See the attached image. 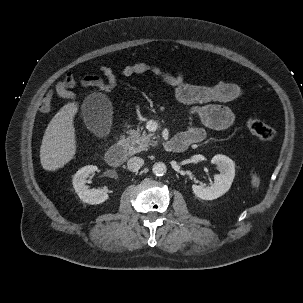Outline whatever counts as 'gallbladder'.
I'll list each match as a JSON object with an SVG mask.
<instances>
[{
  "label": "gallbladder",
  "instance_id": "gallbladder-1",
  "mask_svg": "<svg viewBox=\"0 0 303 303\" xmlns=\"http://www.w3.org/2000/svg\"><path fill=\"white\" fill-rule=\"evenodd\" d=\"M82 115L89 130L95 134H103L111 121V102L100 92L92 93L83 102Z\"/></svg>",
  "mask_w": 303,
  "mask_h": 303
}]
</instances>
